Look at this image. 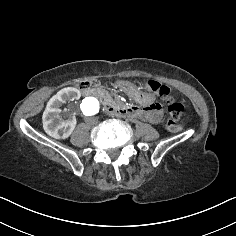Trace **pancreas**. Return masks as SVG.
<instances>
[{"label": "pancreas", "mask_w": 236, "mask_h": 236, "mask_svg": "<svg viewBox=\"0 0 236 236\" xmlns=\"http://www.w3.org/2000/svg\"><path fill=\"white\" fill-rule=\"evenodd\" d=\"M98 96L100 98H103L104 100H107V99L111 98L109 92L105 89H100Z\"/></svg>", "instance_id": "obj_1"}]
</instances>
